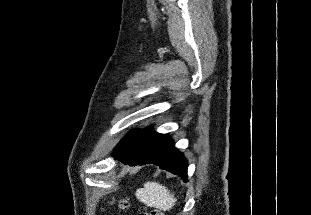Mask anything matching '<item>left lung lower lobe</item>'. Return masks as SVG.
Wrapping results in <instances>:
<instances>
[{
	"mask_svg": "<svg viewBox=\"0 0 311 215\" xmlns=\"http://www.w3.org/2000/svg\"><path fill=\"white\" fill-rule=\"evenodd\" d=\"M114 158L130 166L155 164L187 182L186 158L169 136L154 132L152 127L142 130L132 144Z\"/></svg>",
	"mask_w": 311,
	"mask_h": 215,
	"instance_id": "obj_1",
	"label": "left lung lower lobe"
}]
</instances>
